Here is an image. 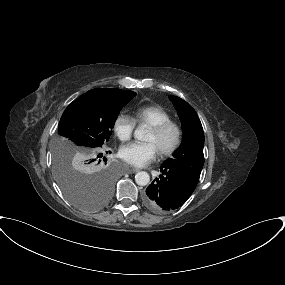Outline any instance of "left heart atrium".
I'll return each instance as SVG.
<instances>
[{
	"label": "left heart atrium",
	"mask_w": 285,
	"mask_h": 285,
	"mask_svg": "<svg viewBox=\"0 0 285 285\" xmlns=\"http://www.w3.org/2000/svg\"><path fill=\"white\" fill-rule=\"evenodd\" d=\"M158 154V149L153 142H133L123 146L120 157L131 165L142 167L153 161Z\"/></svg>",
	"instance_id": "1"
}]
</instances>
